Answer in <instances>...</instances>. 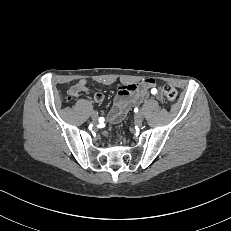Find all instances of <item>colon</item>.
<instances>
[{
	"label": "colon",
	"mask_w": 231,
	"mask_h": 231,
	"mask_svg": "<svg viewBox=\"0 0 231 231\" xmlns=\"http://www.w3.org/2000/svg\"><path fill=\"white\" fill-rule=\"evenodd\" d=\"M162 91L164 96L170 101H173L177 98L178 95L177 90L171 85H165ZM76 96H77L76 93L70 91L69 98H76ZM109 133H110V129L106 130L105 134L109 135Z\"/></svg>",
	"instance_id": "colon-1"
}]
</instances>
